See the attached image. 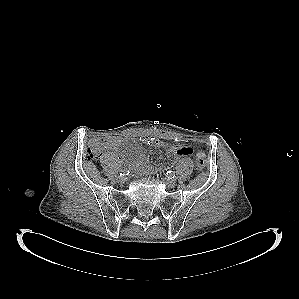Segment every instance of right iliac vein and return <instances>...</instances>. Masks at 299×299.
Returning <instances> with one entry per match:
<instances>
[{"label": "right iliac vein", "instance_id": "1", "mask_svg": "<svg viewBox=\"0 0 299 299\" xmlns=\"http://www.w3.org/2000/svg\"><path fill=\"white\" fill-rule=\"evenodd\" d=\"M117 181H118V183L123 184V183H125L126 178L124 176H119V177H117Z\"/></svg>", "mask_w": 299, "mask_h": 299}]
</instances>
